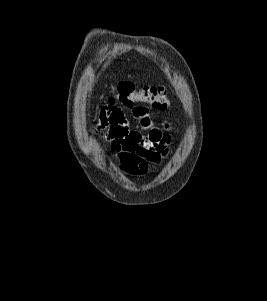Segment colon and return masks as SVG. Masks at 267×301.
I'll use <instances>...</instances> for the list:
<instances>
[{
  "instance_id": "colon-1",
  "label": "colon",
  "mask_w": 267,
  "mask_h": 301,
  "mask_svg": "<svg viewBox=\"0 0 267 301\" xmlns=\"http://www.w3.org/2000/svg\"><path fill=\"white\" fill-rule=\"evenodd\" d=\"M111 102H119L130 106L136 102L150 104L157 109H165L168 106L166 90L162 86H144L136 88L131 82H121L114 88Z\"/></svg>"
}]
</instances>
